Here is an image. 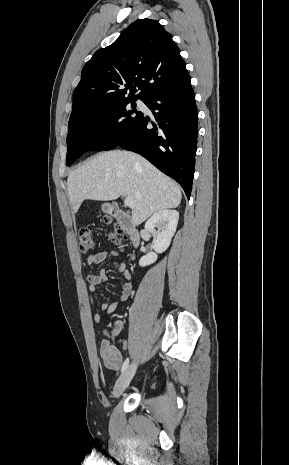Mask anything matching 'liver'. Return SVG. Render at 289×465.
<instances>
[{"label":"liver","instance_id":"obj_1","mask_svg":"<svg viewBox=\"0 0 289 465\" xmlns=\"http://www.w3.org/2000/svg\"><path fill=\"white\" fill-rule=\"evenodd\" d=\"M67 186L74 213L84 200L132 198L135 225L157 211L178 207L182 199L180 187L172 179L140 155L121 150L95 155L69 174Z\"/></svg>","mask_w":289,"mask_h":465}]
</instances>
